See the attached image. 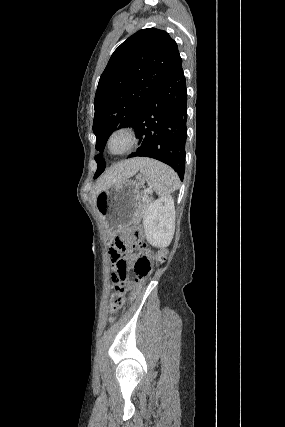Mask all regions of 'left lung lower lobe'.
Listing matches in <instances>:
<instances>
[{
	"instance_id": "obj_1",
	"label": "left lung lower lobe",
	"mask_w": 285,
	"mask_h": 427,
	"mask_svg": "<svg viewBox=\"0 0 285 427\" xmlns=\"http://www.w3.org/2000/svg\"><path fill=\"white\" fill-rule=\"evenodd\" d=\"M187 91L182 59L158 85L132 127L142 145L128 156L150 157L171 166L183 180L187 138Z\"/></svg>"
}]
</instances>
